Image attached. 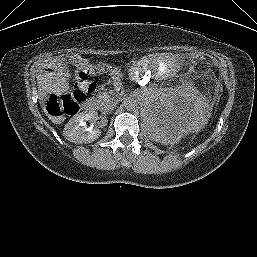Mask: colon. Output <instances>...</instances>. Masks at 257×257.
I'll use <instances>...</instances> for the list:
<instances>
[{"label": "colon", "mask_w": 257, "mask_h": 257, "mask_svg": "<svg viewBox=\"0 0 257 257\" xmlns=\"http://www.w3.org/2000/svg\"><path fill=\"white\" fill-rule=\"evenodd\" d=\"M192 61H203L205 56L200 52L190 53ZM96 72L92 66H84L77 74L73 87L63 90L59 94H52L48 97L46 107L50 115L60 117L64 113L76 114L81 104L86 100L87 95L95 90V83L91 77Z\"/></svg>", "instance_id": "1"}]
</instances>
